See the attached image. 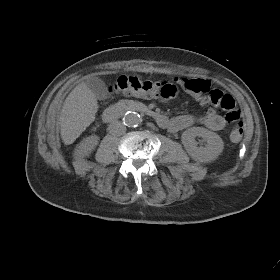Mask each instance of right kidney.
I'll return each instance as SVG.
<instances>
[{
    "label": "right kidney",
    "instance_id": "1",
    "mask_svg": "<svg viewBox=\"0 0 280 280\" xmlns=\"http://www.w3.org/2000/svg\"><path fill=\"white\" fill-rule=\"evenodd\" d=\"M99 137L96 135L89 136L81 141L78 146L79 151L85 155L89 156L91 152L95 149L98 144Z\"/></svg>",
    "mask_w": 280,
    "mask_h": 280
}]
</instances>
